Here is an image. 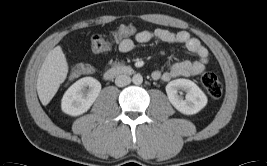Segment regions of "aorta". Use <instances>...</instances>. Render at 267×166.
I'll return each instance as SVG.
<instances>
[{"label": "aorta", "mask_w": 267, "mask_h": 166, "mask_svg": "<svg viewBox=\"0 0 267 166\" xmlns=\"http://www.w3.org/2000/svg\"><path fill=\"white\" fill-rule=\"evenodd\" d=\"M132 82H133L135 85H140V84H142V82H143V77H142L140 74H135V75L132 77Z\"/></svg>", "instance_id": "obj_1"}]
</instances>
